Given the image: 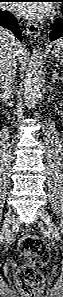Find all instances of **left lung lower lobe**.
<instances>
[{
    "mask_svg": "<svg viewBox=\"0 0 63 297\" xmlns=\"http://www.w3.org/2000/svg\"><path fill=\"white\" fill-rule=\"evenodd\" d=\"M62 13H63V9H62ZM60 37H63V17L62 19L55 21L52 25H51V31H50V40H56Z\"/></svg>",
    "mask_w": 63,
    "mask_h": 297,
    "instance_id": "obj_1",
    "label": "left lung lower lobe"
}]
</instances>
